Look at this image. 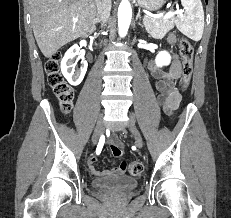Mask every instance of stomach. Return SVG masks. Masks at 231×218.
<instances>
[{
    "mask_svg": "<svg viewBox=\"0 0 231 218\" xmlns=\"http://www.w3.org/2000/svg\"><path fill=\"white\" fill-rule=\"evenodd\" d=\"M136 2L148 11H157L164 5L165 0H136Z\"/></svg>",
    "mask_w": 231,
    "mask_h": 218,
    "instance_id": "0dacf381",
    "label": "stomach"
}]
</instances>
